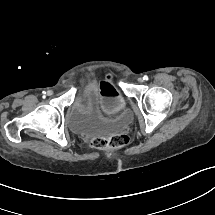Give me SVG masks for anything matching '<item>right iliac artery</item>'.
Instances as JSON below:
<instances>
[{
  "label": "right iliac artery",
  "instance_id": "82829eb1",
  "mask_svg": "<svg viewBox=\"0 0 215 215\" xmlns=\"http://www.w3.org/2000/svg\"><path fill=\"white\" fill-rule=\"evenodd\" d=\"M43 94H46V92H45V91H43Z\"/></svg>",
  "mask_w": 215,
  "mask_h": 215
}]
</instances>
